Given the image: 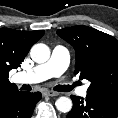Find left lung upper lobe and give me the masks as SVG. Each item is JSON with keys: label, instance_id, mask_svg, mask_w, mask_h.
Instances as JSON below:
<instances>
[{"label": "left lung upper lobe", "instance_id": "1", "mask_svg": "<svg viewBox=\"0 0 118 118\" xmlns=\"http://www.w3.org/2000/svg\"><path fill=\"white\" fill-rule=\"evenodd\" d=\"M76 53L75 73L90 81L89 95L118 101V40L87 26L57 30Z\"/></svg>", "mask_w": 118, "mask_h": 118}]
</instances>
